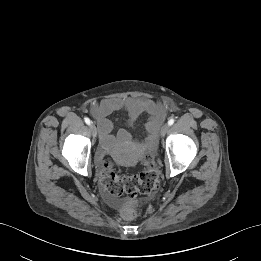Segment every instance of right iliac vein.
<instances>
[{"instance_id": "1", "label": "right iliac vein", "mask_w": 261, "mask_h": 261, "mask_svg": "<svg viewBox=\"0 0 261 261\" xmlns=\"http://www.w3.org/2000/svg\"><path fill=\"white\" fill-rule=\"evenodd\" d=\"M89 129L91 131L92 136L96 137L97 136V128H96V126L92 123V124H90Z\"/></svg>"}]
</instances>
